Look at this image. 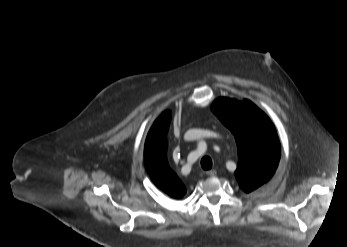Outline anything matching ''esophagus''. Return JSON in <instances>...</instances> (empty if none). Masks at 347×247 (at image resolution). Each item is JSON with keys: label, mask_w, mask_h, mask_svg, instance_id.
Returning a JSON list of instances; mask_svg holds the SVG:
<instances>
[{"label": "esophagus", "mask_w": 347, "mask_h": 247, "mask_svg": "<svg viewBox=\"0 0 347 247\" xmlns=\"http://www.w3.org/2000/svg\"><path fill=\"white\" fill-rule=\"evenodd\" d=\"M206 174H207L208 176H215V175L217 174V172H216V170L213 169V170L207 171Z\"/></svg>", "instance_id": "34e87169"}]
</instances>
